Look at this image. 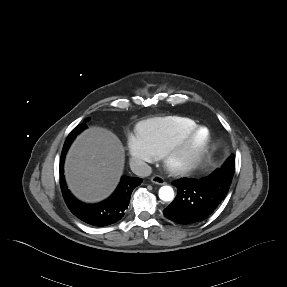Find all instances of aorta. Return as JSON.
<instances>
[{
  "label": "aorta",
  "instance_id": "obj_1",
  "mask_svg": "<svg viewBox=\"0 0 287 287\" xmlns=\"http://www.w3.org/2000/svg\"><path fill=\"white\" fill-rule=\"evenodd\" d=\"M159 198L164 202H169L174 199V190L171 186H162L159 189Z\"/></svg>",
  "mask_w": 287,
  "mask_h": 287
}]
</instances>
